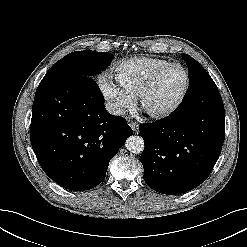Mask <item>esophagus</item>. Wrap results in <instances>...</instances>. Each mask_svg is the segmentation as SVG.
<instances>
[{
	"label": "esophagus",
	"mask_w": 247,
	"mask_h": 247,
	"mask_svg": "<svg viewBox=\"0 0 247 247\" xmlns=\"http://www.w3.org/2000/svg\"><path fill=\"white\" fill-rule=\"evenodd\" d=\"M129 125L131 126L132 130L134 131V133H137L138 132L139 125L136 122L129 121Z\"/></svg>",
	"instance_id": "obj_1"
}]
</instances>
